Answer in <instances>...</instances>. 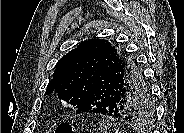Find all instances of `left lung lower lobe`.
Returning <instances> with one entry per match:
<instances>
[{
  "instance_id": "obj_1",
  "label": "left lung lower lobe",
  "mask_w": 184,
  "mask_h": 133,
  "mask_svg": "<svg viewBox=\"0 0 184 133\" xmlns=\"http://www.w3.org/2000/svg\"><path fill=\"white\" fill-rule=\"evenodd\" d=\"M112 62L106 52L100 53L98 68L101 72L96 77L89 97L78 107L76 113H98L131 123L133 117L128 112L131 97L138 90L143 92L148 90L142 86L140 79H137L140 85H135L133 88L128 85L121 70Z\"/></svg>"
}]
</instances>
